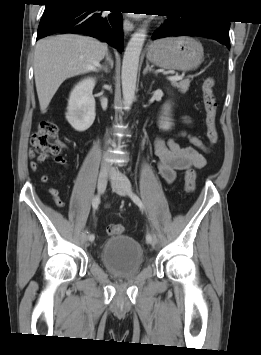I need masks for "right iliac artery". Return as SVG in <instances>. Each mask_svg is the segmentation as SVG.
Wrapping results in <instances>:
<instances>
[{
  "label": "right iliac artery",
  "mask_w": 261,
  "mask_h": 355,
  "mask_svg": "<svg viewBox=\"0 0 261 355\" xmlns=\"http://www.w3.org/2000/svg\"><path fill=\"white\" fill-rule=\"evenodd\" d=\"M99 204H100V197H99V195H96V196L94 197L93 201H92V207H93V210H94V211L97 210ZM85 233H86V232H85ZM87 233H88V232H87ZM88 237H89V240H90V241H93V240L95 239V237H94L93 234H89Z\"/></svg>",
  "instance_id": "1"
}]
</instances>
